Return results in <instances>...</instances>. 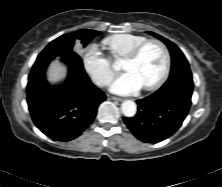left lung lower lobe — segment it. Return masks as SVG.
Returning <instances> with one entry per match:
<instances>
[{
  "label": "left lung lower lobe",
  "instance_id": "0a47b994",
  "mask_svg": "<svg viewBox=\"0 0 222 187\" xmlns=\"http://www.w3.org/2000/svg\"><path fill=\"white\" fill-rule=\"evenodd\" d=\"M191 72H183L152 95L137 100V113L123 120L134 136L145 143H158L182 125L191 105Z\"/></svg>",
  "mask_w": 222,
  "mask_h": 187
}]
</instances>
